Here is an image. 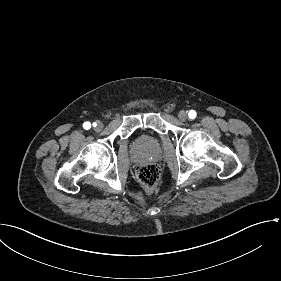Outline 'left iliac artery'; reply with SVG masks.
Masks as SVG:
<instances>
[{"label":"left iliac artery","instance_id":"left-iliac-artery-1","mask_svg":"<svg viewBox=\"0 0 281 281\" xmlns=\"http://www.w3.org/2000/svg\"><path fill=\"white\" fill-rule=\"evenodd\" d=\"M188 115H189V118L194 119L196 117V112L194 110H190Z\"/></svg>","mask_w":281,"mask_h":281}]
</instances>
